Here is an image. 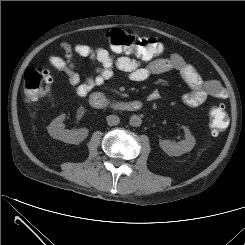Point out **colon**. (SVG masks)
Listing matches in <instances>:
<instances>
[{
	"label": "colon",
	"instance_id": "obj_1",
	"mask_svg": "<svg viewBox=\"0 0 245 245\" xmlns=\"http://www.w3.org/2000/svg\"><path fill=\"white\" fill-rule=\"evenodd\" d=\"M110 47L117 52L134 54L144 61H152L162 53V45L153 37L137 36L128 31L113 29L106 33ZM52 77L48 70L28 67L24 73V90L31 102L39 101L50 89ZM228 116L224 105L215 104L209 110V127L213 135L225 130Z\"/></svg>",
	"mask_w": 245,
	"mask_h": 245
}]
</instances>
